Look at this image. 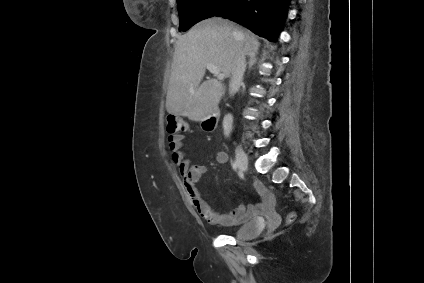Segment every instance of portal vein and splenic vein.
I'll list each match as a JSON object with an SVG mask.
<instances>
[{
    "label": "portal vein and splenic vein",
    "mask_w": 424,
    "mask_h": 283,
    "mask_svg": "<svg viewBox=\"0 0 424 283\" xmlns=\"http://www.w3.org/2000/svg\"><path fill=\"white\" fill-rule=\"evenodd\" d=\"M206 69L209 70L214 76H216L217 79H219V80L224 79V75L222 73H220L219 68L217 66H215L214 64L207 63Z\"/></svg>",
    "instance_id": "1"
}]
</instances>
